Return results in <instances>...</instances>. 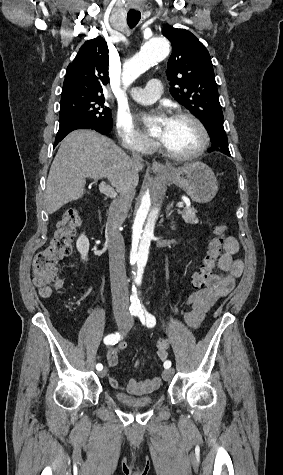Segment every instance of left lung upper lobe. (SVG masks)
Wrapping results in <instances>:
<instances>
[{
  "label": "left lung upper lobe",
  "instance_id": "left-lung-upper-lobe-1",
  "mask_svg": "<svg viewBox=\"0 0 283 475\" xmlns=\"http://www.w3.org/2000/svg\"><path fill=\"white\" fill-rule=\"evenodd\" d=\"M162 34L172 44L166 70L172 96L210 128L223 127L213 65L208 50L190 31L166 25Z\"/></svg>",
  "mask_w": 283,
  "mask_h": 475
}]
</instances>
